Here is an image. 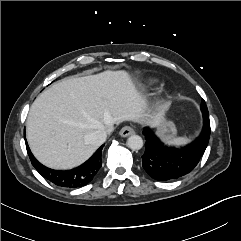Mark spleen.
<instances>
[{"mask_svg":"<svg viewBox=\"0 0 241 241\" xmlns=\"http://www.w3.org/2000/svg\"><path fill=\"white\" fill-rule=\"evenodd\" d=\"M188 138L186 137H178V138H173L167 141L169 145H174V146H181L185 145L188 143Z\"/></svg>","mask_w":241,"mask_h":241,"instance_id":"spleen-1","label":"spleen"}]
</instances>
